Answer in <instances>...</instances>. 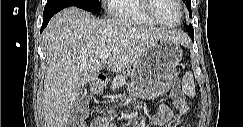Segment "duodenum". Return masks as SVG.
<instances>
[{
	"mask_svg": "<svg viewBox=\"0 0 243 127\" xmlns=\"http://www.w3.org/2000/svg\"><path fill=\"white\" fill-rule=\"evenodd\" d=\"M108 81H109V79L105 74H98L93 83V87L95 89H103L104 87H106L108 85Z\"/></svg>",
	"mask_w": 243,
	"mask_h": 127,
	"instance_id": "1",
	"label": "duodenum"
}]
</instances>
